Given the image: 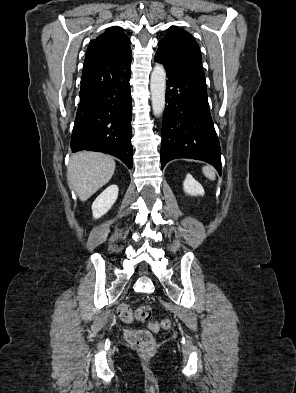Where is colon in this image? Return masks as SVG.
I'll use <instances>...</instances> for the list:
<instances>
[{
  "label": "colon",
  "instance_id": "colon-1",
  "mask_svg": "<svg viewBox=\"0 0 296 393\" xmlns=\"http://www.w3.org/2000/svg\"><path fill=\"white\" fill-rule=\"evenodd\" d=\"M152 309L149 306H141L136 311H133L128 305L122 304L119 307V315L122 320L131 322L134 318L145 321L150 318ZM171 327L169 319L161 320L160 322H153L149 328L152 332H157L160 329H168ZM127 341L143 353L148 354L155 348V342L150 331L147 330H128L126 332Z\"/></svg>",
  "mask_w": 296,
  "mask_h": 393
}]
</instances>
